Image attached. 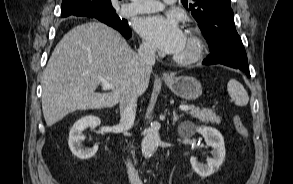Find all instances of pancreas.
I'll return each mask as SVG.
<instances>
[{
	"instance_id": "cf45deb5",
	"label": "pancreas",
	"mask_w": 293,
	"mask_h": 184,
	"mask_svg": "<svg viewBox=\"0 0 293 184\" xmlns=\"http://www.w3.org/2000/svg\"><path fill=\"white\" fill-rule=\"evenodd\" d=\"M189 113L204 123L220 124L222 121V118L216 115L212 109H199L191 105Z\"/></svg>"
}]
</instances>
